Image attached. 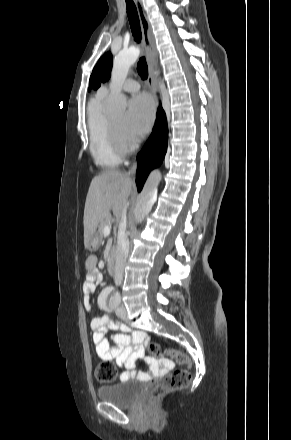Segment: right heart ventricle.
I'll return each instance as SVG.
<instances>
[{
    "mask_svg": "<svg viewBox=\"0 0 291 440\" xmlns=\"http://www.w3.org/2000/svg\"><path fill=\"white\" fill-rule=\"evenodd\" d=\"M105 96L98 91L89 103V148L96 165L103 168H112L120 165L121 155L114 149L109 137L108 117L102 111V102Z\"/></svg>",
    "mask_w": 291,
    "mask_h": 440,
    "instance_id": "1",
    "label": "right heart ventricle"
}]
</instances>
